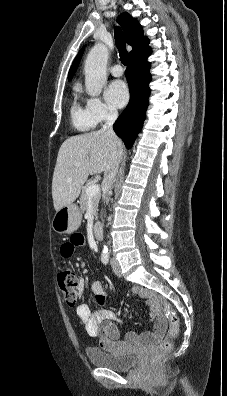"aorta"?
<instances>
[{
  "label": "aorta",
  "mask_w": 227,
  "mask_h": 396,
  "mask_svg": "<svg viewBox=\"0 0 227 396\" xmlns=\"http://www.w3.org/2000/svg\"><path fill=\"white\" fill-rule=\"evenodd\" d=\"M108 49L104 44L96 43L90 50L85 61V86L90 96L100 95L106 83V65L108 61ZM107 249L104 246V250Z\"/></svg>",
  "instance_id": "aorta-1"
}]
</instances>
